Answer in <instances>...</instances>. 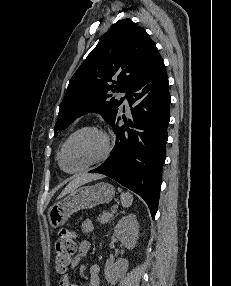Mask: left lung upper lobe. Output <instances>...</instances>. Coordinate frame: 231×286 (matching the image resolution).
<instances>
[{
	"label": "left lung upper lobe",
	"instance_id": "left-lung-upper-lobe-1",
	"mask_svg": "<svg viewBox=\"0 0 231 286\" xmlns=\"http://www.w3.org/2000/svg\"><path fill=\"white\" fill-rule=\"evenodd\" d=\"M161 58L145 30L130 19L117 21L71 78L60 105L54 134L87 112L100 113L111 124L126 92Z\"/></svg>",
	"mask_w": 231,
	"mask_h": 286
}]
</instances>
